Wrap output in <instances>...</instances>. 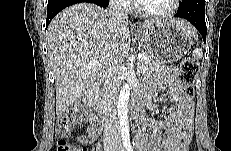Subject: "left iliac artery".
Instances as JSON below:
<instances>
[{
    "label": "left iliac artery",
    "instance_id": "44dca946",
    "mask_svg": "<svg viewBox=\"0 0 231 151\" xmlns=\"http://www.w3.org/2000/svg\"><path fill=\"white\" fill-rule=\"evenodd\" d=\"M126 149H127V151H132L131 145L130 144L126 145Z\"/></svg>",
    "mask_w": 231,
    "mask_h": 151
}]
</instances>
